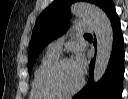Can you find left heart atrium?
<instances>
[{"label":"left heart atrium","mask_w":128,"mask_h":99,"mask_svg":"<svg viewBox=\"0 0 128 99\" xmlns=\"http://www.w3.org/2000/svg\"><path fill=\"white\" fill-rule=\"evenodd\" d=\"M73 62L75 64V66L77 67L78 71L82 74L84 67H85V62H84L83 56L78 54Z\"/></svg>","instance_id":"left-heart-atrium-1"}]
</instances>
